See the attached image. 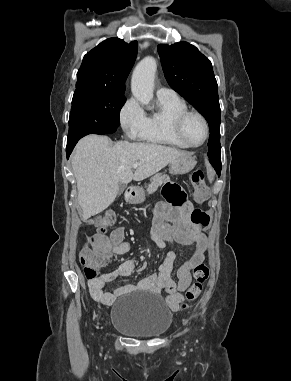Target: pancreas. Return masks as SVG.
<instances>
[{
  "label": "pancreas",
  "instance_id": "1",
  "mask_svg": "<svg viewBox=\"0 0 291 381\" xmlns=\"http://www.w3.org/2000/svg\"><path fill=\"white\" fill-rule=\"evenodd\" d=\"M170 178L168 175L165 174H156L150 179V185L147 188L148 194L154 193L159 186H161L164 182L169 181Z\"/></svg>",
  "mask_w": 291,
  "mask_h": 381
}]
</instances>
